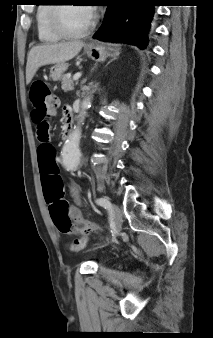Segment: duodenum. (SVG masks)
<instances>
[{
	"mask_svg": "<svg viewBox=\"0 0 213 338\" xmlns=\"http://www.w3.org/2000/svg\"><path fill=\"white\" fill-rule=\"evenodd\" d=\"M74 123H75V119L73 117V114L70 113L62 127V133L64 137H67L69 134H71V132L74 129Z\"/></svg>",
	"mask_w": 213,
	"mask_h": 338,
	"instance_id": "1",
	"label": "duodenum"
}]
</instances>
